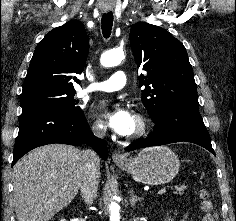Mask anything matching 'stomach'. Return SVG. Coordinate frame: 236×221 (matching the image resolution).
<instances>
[{
  "mask_svg": "<svg viewBox=\"0 0 236 221\" xmlns=\"http://www.w3.org/2000/svg\"><path fill=\"white\" fill-rule=\"evenodd\" d=\"M117 166L148 185L166 184L179 172L180 162L176 154L166 146H155L141 150L136 156Z\"/></svg>",
  "mask_w": 236,
  "mask_h": 221,
  "instance_id": "1",
  "label": "stomach"
}]
</instances>
